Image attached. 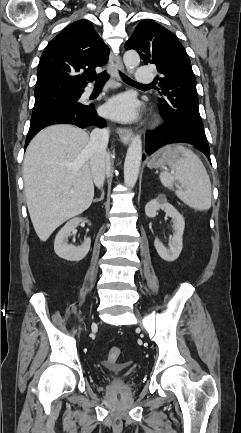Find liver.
Masks as SVG:
<instances>
[{"mask_svg": "<svg viewBox=\"0 0 241 433\" xmlns=\"http://www.w3.org/2000/svg\"><path fill=\"white\" fill-rule=\"evenodd\" d=\"M89 135L67 124L49 126L30 142L23 163L26 203L35 232L45 242L94 197ZM106 155V169L110 171Z\"/></svg>", "mask_w": 241, "mask_h": 433, "instance_id": "obj_1", "label": "liver"}]
</instances>
